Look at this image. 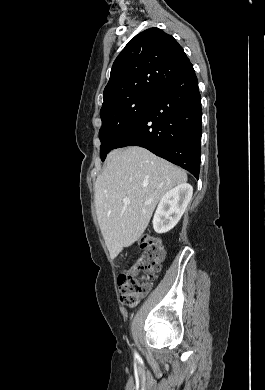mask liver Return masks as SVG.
I'll return each mask as SVG.
<instances>
[{"label":"liver","instance_id":"obj_1","mask_svg":"<svg viewBox=\"0 0 265 390\" xmlns=\"http://www.w3.org/2000/svg\"><path fill=\"white\" fill-rule=\"evenodd\" d=\"M187 181L181 168L139 146L109 153L95 182L99 226L112 258L136 242L162 196ZM130 204L125 205L123 199Z\"/></svg>","mask_w":265,"mask_h":390}]
</instances>
